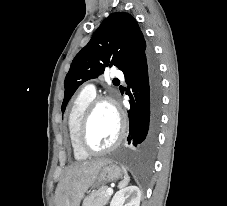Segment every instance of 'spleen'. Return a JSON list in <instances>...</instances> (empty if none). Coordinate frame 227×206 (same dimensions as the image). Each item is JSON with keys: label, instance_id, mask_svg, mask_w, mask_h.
<instances>
[{"label": "spleen", "instance_id": "1", "mask_svg": "<svg viewBox=\"0 0 227 206\" xmlns=\"http://www.w3.org/2000/svg\"><path fill=\"white\" fill-rule=\"evenodd\" d=\"M122 169H123V172H124V179L119 183V188L126 186L130 181V177L128 176L126 168L122 167Z\"/></svg>", "mask_w": 227, "mask_h": 206}]
</instances>
